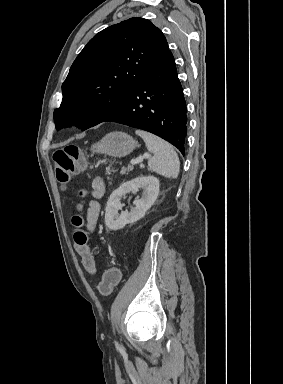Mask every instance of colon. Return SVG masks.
I'll use <instances>...</instances> for the list:
<instances>
[{
	"label": "colon",
	"mask_w": 283,
	"mask_h": 384,
	"mask_svg": "<svg viewBox=\"0 0 283 384\" xmlns=\"http://www.w3.org/2000/svg\"><path fill=\"white\" fill-rule=\"evenodd\" d=\"M53 161L58 182L63 186L68 185L71 179L79 173L83 166L82 151L75 145L66 146L54 152ZM83 194L84 193L81 191L80 195L82 196ZM78 208L80 210L82 205L79 204ZM72 223L77 228L74 233L75 243L79 245L87 244L88 235L82 229V217L78 214L73 216ZM120 280V270L115 266L109 267L105 270L100 282L98 283L97 288L99 293L105 297L109 296Z\"/></svg>",
	"instance_id": "5ec220e1"
}]
</instances>
